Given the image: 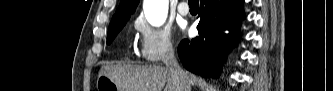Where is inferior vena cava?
Returning a JSON list of instances; mask_svg holds the SVG:
<instances>
[{"instance_id": "1", "label": "inferior vena cava", "mask_w": 333, "mask_h": 91, "mask_svg": "<svg viewBox=\"0 0 333 91\" xmlns=\"http://www.w3.org/2000/svg\"><path fill=\"white\" fill-rule=\"evenodd\" d=\"M166 67L173 79L179 84V91H190V84L187 81L184 71L180 68L174 55V49L169 48L167 56L164 60Z\"/></svg>"}]
</instances>
